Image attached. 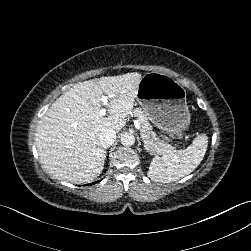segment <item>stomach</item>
<instances>
[{"mask_svg":"<svg viewBox=\"0 0 251 251\" xmlns=\"http://www.w3.org/2000/svg\"><path fill=\"white\" fill-rule=\"evenodd\" d=\"M135 99L159 128L171 131L183 126L188 119L186 91L168 74L151 72L143 75Z\"/></svg>","mask_w":251,"mask_h":251,"instance_id":"obj_1","label":"stomach"}]
</instances>
